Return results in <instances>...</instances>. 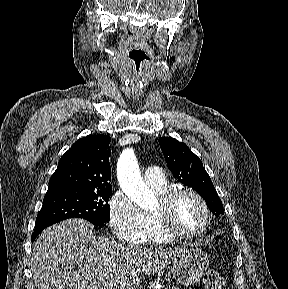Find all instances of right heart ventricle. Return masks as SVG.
<instances>
[{"instance_id":"right-heart-ventricle-1","label":"right heart ventricle","mask_w":288,"mask_h":289,"mask_svg":"<svg viewBox=\"0 0 288 289\" xmlns=\"http://www.w3.org/2000/svg\"><path fill=\"white\" fill-rule=\"evenodd\" d=\"M156 190L160 195L169 191L168 185L164 187H152ZM147 222H148V230L147 234L143 240V243L147 244H169L174 242V239L166 235L159 227L157 220L154 216V212L145 213Z\"/></svg>"}]
</instances>
